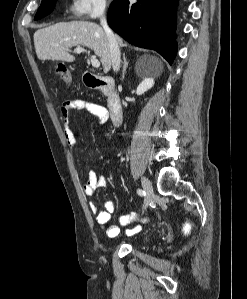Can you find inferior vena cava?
Returning a JSON list of instances; mask_svg holds the SVG:
<instances>
[{
    "label": "inferior vena cava",
    "mask_w": 247,
    "mask_h": 299,
    "mask_svg": "<svg viewBox=\"0 0 247 299\" xmlns=\"http://www.w3.org/2000/svg\"><path fill=\"white\" fill-rule=\"evenodd\" d=\"M100 21L101 25L108 37L109 41V47H110V54H111V65L115 72L119 71L120 69V63H121V53L120 49L116 40L115 35L113 34L112 30L110 29L106 18L104 16V9H101L100 11Z\"/></svg>",
    "instance_id": "602c4592"
}]
</instances>
